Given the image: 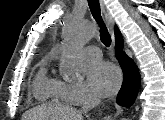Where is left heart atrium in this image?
Wrapping results in <instances>:
<instances>
[{
	"instance_id": "left-heart-atrium-1",
	"label": "left heart atrium",
	"mask_w": 165,
	"mask_h": 120,
	"mask_svg": "<svg viewBox=\"0 0 165 120\" xmlns=\"http://www.w3.org/2000/svg\"><path fill=\"white\" fill-rule=\"evenodd\" d=\"M88 83L92 91L99 96L114 94L121 84V74L111 63L98 62L88 70Z\"/></svg>"
}]
</instances>
